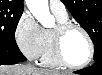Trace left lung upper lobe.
I'll return each instance as SVG.
<instances>
[{
    "mask_svg": "<svg viewBox=\"0 0 102 75\" xmlns=\"http://www.w3.org/2000/svg\"><path fill=\"white\" fill-rule=\"evenodd\" d=\"M91 37L94 60L102 59V0H61Z\"/></svg>",
    "mask_w": 102,
    "mask_h": 75,
    "instance_id": "5c2ea615",
    "label": "left lung upper lobe"
}]
</instances>
